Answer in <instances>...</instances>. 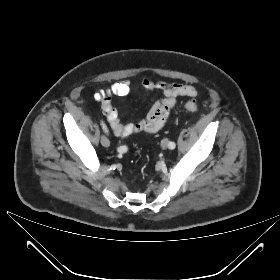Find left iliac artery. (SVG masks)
I'll use <instances>...</instances> for the list:
<instances>
[{"label":"left iliac artery","instance_id":"left-iliac-artery-1","mask_svg":"<svg viewBox=\"0 0 280 280\" xmlns=\"http://www.w3.org/2000/svg\"><path fill=\"white\" fill-rule=\"evenodd\" d=\"M169 149L173 150L176 147V144L174 142H169L168 144Z\"/></svg>","mask_w":280,"mask_h":280}]
</instances>
